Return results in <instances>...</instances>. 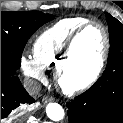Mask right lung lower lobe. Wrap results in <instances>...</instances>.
<instances>
[{
	"label": "right lung lower lobe",
	"instance_id": "1",
	"mask_svg": "<svg viewBox=\"0 0 123 123\" xmlns=\"http://www.w3.org/2000/svg\"><path fill=\"white\" fill-rule=\"evenodd\" d=\"M34 101L16 75H1V120L21 104Z\"/></svg>",
	"mask_w": 123,
	"mask_h": 123
}]
</instances>
